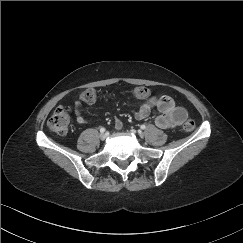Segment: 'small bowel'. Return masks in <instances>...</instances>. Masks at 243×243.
Segmentation results:
<instances>
[{
    "label": "small bowel",
    "instance_id": "obj_1",
    "mask_svg": "<svg viewBox=\"0 0 243 243\" xmlns=\"http://www.w3.org/2000/svg\"><path fill=\"white\" fill-rule=\"evenodd\" d=\"M144 99V103L135 113V117L138 120L146 119L156 111H159L160 114L156 117L155 124L161 129H167L181 125L187 118V110L182 106L176 105L174 99L168 95L152 96L148 91ZM74 110L77 122L84 124L86 120L82 113L80 101L75 102ZM114 128L117 131L121 130L123 128L122 122L115 120Z\"/></svg>",
    "mask_w": 243,
    "mask_h": 243
}]
</instances>
